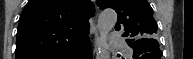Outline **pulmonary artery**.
<instances>
[{
	"instance_id": "pulmonary-artery-1",
	"label": "pulmonary artery",
	"mask_w": 193,
	"mask_h": 59,
	"mask_svg": "<svg viewBox=\"0 0 193 59\" xmlns=\"http://www.w3.org/2000/svg\"><path fill=\"white\" fill-rule=\"evenodd\" d=\"M110 44L111 45H117V46H121L123 45V40L116 34H111L110 38H109ZM125 54H130L129 50L125 51Z\"/></svg>"
}]
</instances>
